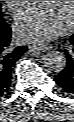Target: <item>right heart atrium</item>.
Returning <instances> with one entry per match:
<instances>
[{
	"label": "right heart atrium",
	"mask_w": 74,
	"mask_h": 122,
	"mask_svg": "<svg viewBox=\"0 0 74 122\" xmlns=\"http://www.w3.org/2000/svg\"><path fill=\"white\" fill-rule=\"evenodd\" d=\"M5 2H6V5L8 6V8L12 11V13L15 15H18V16L28 10L27 7L30 3V1H5Z\"/></svg>",
	"instance_id": "1"
}]
</instances>
